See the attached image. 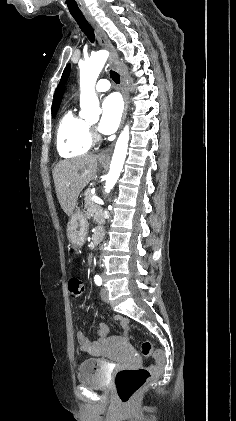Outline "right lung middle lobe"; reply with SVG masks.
Masks as SVG:
<instances>
[{
  "instance_id": "right-lung-middle-lobe-1",
  "label": "right lung middle lobe",
  "mask_w": 236,
  "mask_h": 421,
  "mask_svg": "<svg viewBox=\"0 0 236 421\" xmlns=\"http://www.w3.org/2000/svg\"><path fill=\"white\" fill-rule=\"evenodd\" d=\"M56 113H57V110L53 111L52 116L54 117Z\"/></svg>"
}]
</instances>
